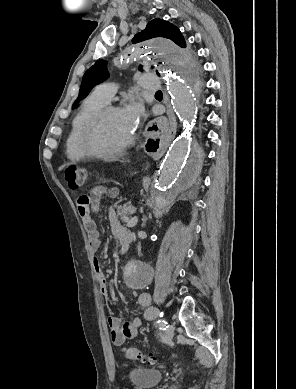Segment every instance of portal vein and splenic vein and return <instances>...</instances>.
<instances>
[{
	"instance_id": "portal-vein-and-splenic-vein-1",
	"label": "portal vein and splenic vein",
	"mask_w": 296,
	"mask_h": 389,
	"mask_svg": "<svg viewBox=\"0 0 296 389\" xmlns=\"http://www.w3.org/2000/svg\"><path fill=\"white\" fill-rule=\"evenodd\" d=\"M137 222H138V217L135 216L127 222V226L132 228L137 224Z\"/></svg>"
}]
</instances>
